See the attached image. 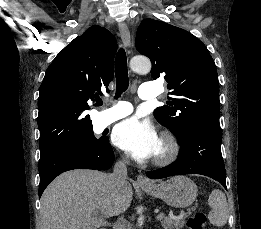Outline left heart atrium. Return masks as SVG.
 Wrapping results in <instances>:
<instances>
[{
    "label": "left heart atrium",
    "instance_id": "39dd6f15",
    "mask_svg": "<svg viewBox=\"0 0 261 229\" xmlns=\"http://www.w3.org/2000/svg\"><path fill=\"white\" fill-rule=\"evenodd\" d=\"M115 145L129 151L137 159L156 154L160 140L154 125L133 117L118 124L113 133Z\"/></svg>",
    "mask_w": 261,
    "mask_h": 229
}]
</instances>
